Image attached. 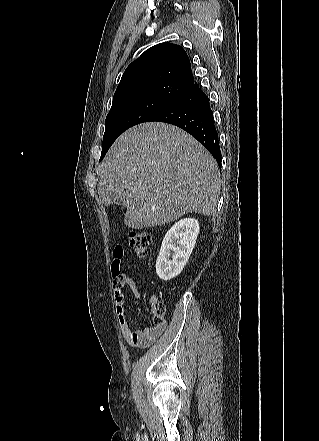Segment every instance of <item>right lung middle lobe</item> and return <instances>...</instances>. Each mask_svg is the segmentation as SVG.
I'll return each instance as SVG.
<instances>
[{"instance_id":"obj_1","label":"right lung middle lobe","mask_w":319,"mask_h":441,"mask_svg":"<svg viewBox=\"0 0 319 441\" xmlns=\"http://www.w3.org/2000/svg\"><path fill=\"white\" fill-rule=\"evenodd\" d=\"M171 103L156 97H140L112 106L105 121V133L100 161L105 156L115 139L128 128L148 122Z\"/></svg>"}]
</instances>
